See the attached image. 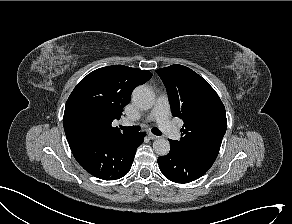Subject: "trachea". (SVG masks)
<instances>
[{"instance_id": "3493384b", "label": "trachea", "mask_w": 292, "mask_h": 224, "mask_svg": "<svg viewBox=\"0 0 292 224\" xmlns=\"http://www.w3.org/2000/svg\"><path fill=\"white\" fill-rule=\"evenodd\" d=\"M120 128L122 130L129 131V132H138L141 130L139 126H131V127L120 126ZM151 132L157 136L162 135V132L157 128H152Z\"/></svg>"}]
</instances>
